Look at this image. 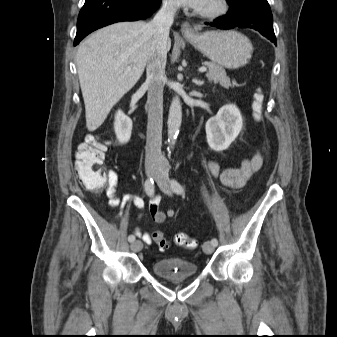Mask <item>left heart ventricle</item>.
<instances>
[{
	"label": "left heart ventricle",
	"instance_id": "b2bd125f",
	"mask_svg": "<svg viewBox=\"0 0 337 337\" xmlns=\"http://www.w3.org/2000/svg\"><path fill=\"white\" fill-rule=\"evenodd\" d=\"M212 4V0H209V2L207 3V5L203 8V9H207L211 6Z\"/></svg>",
	"mask_w": 337,
	"mask_h": 337
}]
</instances>
